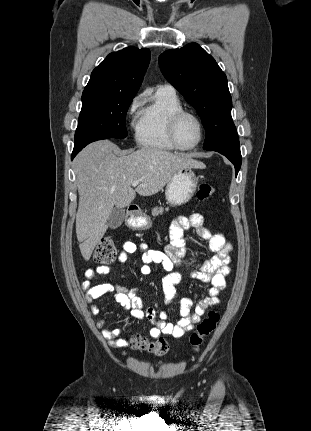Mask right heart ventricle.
Listing matches in <instances>:
<instances>
[{
	"label": "right heart ventricle",
	"instance_id": "obj_1",
	"mask_svg": "<svg viewBox=\"0 0 311 431\" xmlns=\"http://www.w3.org/2000/svg\"><path fill=\"white\" fill-rule=\"evenodd\" d=\"M184 109V105L176 93L157 88L151 102L140 112L135 126V141L146 149L157 151H174L169 135L171 116Z\"/></svg>",
	"mask_w": 311,
	"mask_h": 431
}]
</instances>
